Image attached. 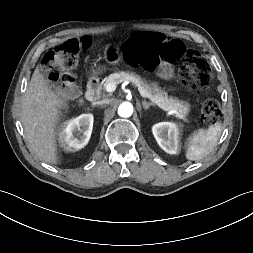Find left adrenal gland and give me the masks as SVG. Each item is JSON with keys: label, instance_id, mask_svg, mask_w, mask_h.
Instances as JSON below:
<instances>
[{"label": "left adrenal gland", "instance_id": "left-adrenal-gland-1", "mask_svg": "<svg viewBox=\"0 0 253 253\" xmlns=\"http://www.w3.org/2000/svg\"><path fill=\"white\" fill-rule=\"evenodd\" d=\"M142 105L145 110L149 109L151 106H154V104L146 101H142Z\"/></svg>", "mask_w": 253, "mask_h": 253}]
</instances>
